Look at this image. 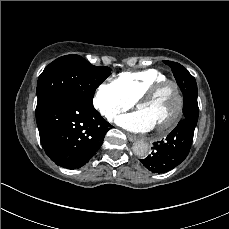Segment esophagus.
I'll return each instance as SVG.
<instances>
[{
  "label": "esophagus",
  "instance_id": "obj_1",
  "mask_svg": "<svg viewBox=\"0 0 229 229\" xmlns=\"http://www.w3.org/2000/svg\"><path fill=\"white\" fill-rule=\"evenodd\" d=\"M127 138H128V140L129 141H131V142H134V141H136L138 138L135 136V135H133V134H127Z\"/></svg>",
  "mask_w": 229,
  "mask_h": 229
}]
</instances>
